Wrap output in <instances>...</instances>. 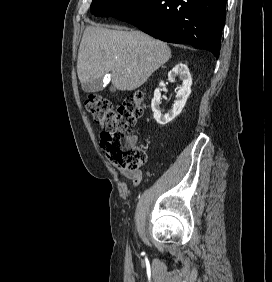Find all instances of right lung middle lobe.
Listing matches in <instances>:
<instances>
[{"instance_id": "1", "label": "right lung middle lobe", "mask_w": 272, "mask_h": 282, "mask_svg": "<svg viewBox=\"0 0 272 282\" xmlns=\"http://www.w3.org/2000/svg\"><path fill=\"white\" fill-rule=\"evenodd\" d=\"M138 0H93L91 13L95 16L112 15L113 13L132 5Z\"/></svg>"}]
</instances>
